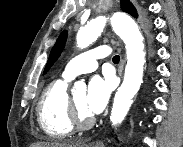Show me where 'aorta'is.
<instances>
[{"label": "aorta", "mask_w": 183, "mask_h": 147, "mask_svg": "<svg viewBox=\"0 0 183 147\" xmlns=\"http://www.w3.org/2000/svg\"><path fill=\"white\" fill-rule=\"evenodd\" d=\"M107 23L111 24L116 34L124 41L127 54L124 80L115 94L110 116L112 124L117 125L125 119L132 104V98L141 86L145 52L143 36L138 25L131 17L120 12L108 16H98L81 27L76 37L77 46L86 48L96 41ZM81 89L85 90L86 84L83 81H78L72 92Z\"/></svg>", "instance_id": "aorta-1"}]
</instances>
